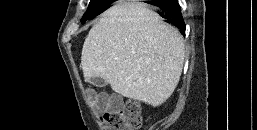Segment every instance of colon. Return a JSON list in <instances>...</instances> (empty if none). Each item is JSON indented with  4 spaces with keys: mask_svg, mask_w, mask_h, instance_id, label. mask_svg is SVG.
I'll list each match as a JSON object with an SVG mask.
<instances>
[{
    "mask_svg": "<svg viewBox=\"0 0 257 130\" xmlns=\"http://www.w3.org/2000/svg\"><path fill=\"white\" fill-rule=\"evenodd\" d=\"M101 119L110 130L138 129L142 124L140 104L128 99L121 106L105 111Z\"/></svg>",
    "mask_w": 257,
    "mask_h": 130,
    "instance_id": "obj_1",
    "label": "colon"
}]
</instances>
